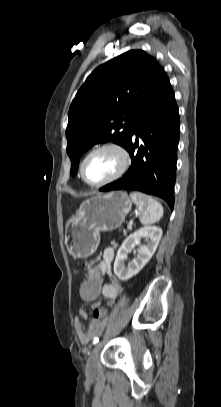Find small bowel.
<instances>
[{
    "label": "small bowel",
    "mask_w": 221,
    "mask_h": 407,
    "mask_svg": "<svg viewBox=\"0 0 221 407\" xmlns=\"http://www.w3.org/2000/svg\"><path fill=\"white\" fill-rule=\"evenodd\" d=\"M115 257V252L112 247H108L103 251L102 258L98 262L100 278L102 279V292H99V296L102 295L109 306L113 305L115 299L121 293V285L112 276L111 265ZM108 276L109 281L103 282V278ZM102 299L96 298L90 304L92 310L96 305H101ZM87 318V313L84 309L79 310V316L75 318V327L77 330L78 338L82 344H88L97 334H99L105 327V318L97 319L93 318L91 322L86 326L84 321Z\"/></svg>",
    "instance_id": "small-bowel-1"
}]
</instances>
